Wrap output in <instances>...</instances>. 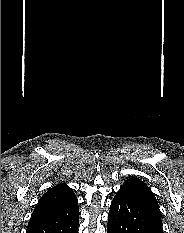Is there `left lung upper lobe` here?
<instances>
[{"instance_id":"5c2ea615","label":"left lung upper lobe","mask_w":184,"mask_h":233,"mask_svg":"<svg viewBox=\"0 0 184 233\" xmlns=\"http://www.w3.org/2000/svg\"><path fill=\"white\" fill-rule=\"evenodd\" d=\"M118 192H125L142 204H144L158 224L162 226L161 214L155 195L146 183L138 178L132 177L125 180Z\"/></svg>"}]
</instances>
